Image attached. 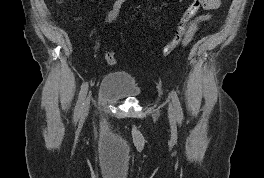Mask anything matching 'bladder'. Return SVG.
<instances>
[{"instance_id":"1","label":"bladder","mask_w":264,"mask_h":178,"mask_svg":"<svg viewBox=\"0 0 264 178\" xmlns=\"http://www.w3.org/2000/svg\"><path fill=\"white\" fill-rule=\"evenodd\" d=\"M141 93L142 87L137 79L129 72L121 70L108 73L99 88V95L111 100L138 98Z\"/></svg>"}]
</instances>
